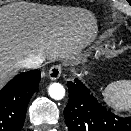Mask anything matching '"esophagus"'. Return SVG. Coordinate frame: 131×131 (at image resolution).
I'll list each match as a JSON object with an SVG mask.
<instances>
[{
  "instance_id": "34e87169",
  "label": "esophagus",
  "mask_w": 131,
  "mask_h": 131,
  "mask_svg": "<svg viewBox=\"0 0 131 131\" xmlns=\"http://www.w3.org/2000/svg\"><path fill=\"white\" fill-rule=\"evenodd\" d=\"M61 75V66H53L48 73V76L51 80H57Z\"/></svg>"
}]
</instances>
